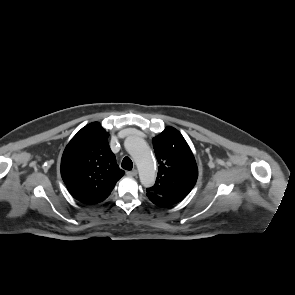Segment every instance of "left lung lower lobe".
I'll return each mask as SVG.
<instances>
[{"mask_svg": "<svg viewBox=\"0 0 295 295\" xmlns=\"http://www.w3.org/2000/svg\"><path fill=\"white\" fill-rule=\"evenodd\" d=\"M147 197L150 199V201L152 203H154L155 205H157L159 207H163V208L171 207V206L177 204L171 200L165 199V198L158 196V195L151 193V192H147Z\"/></svg>", "mask_w": 295, "mask_h": 295, "instance_id": "left-lung-lower-lobe-1", "label": "left lung lower lobe"}]
</instances>
